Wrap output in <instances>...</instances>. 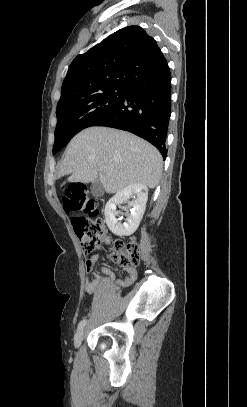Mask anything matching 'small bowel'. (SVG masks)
I'll return each instance as SVG.
<instances>
[{
  "mask_svg": "<svg viewBox=\"0 0 247 407\" xmlns=\"http://www.w3.org/2000/svg\"><path fill=\"white\" fill-rule=\"evenodd\" d=\"M108 243H109V239L107 237H105L102 240V244H108ZM97 261H98V254H94L90 258H88L85 262L86 271L91 272L93 270L94 266L96 265ZM101 270L106 276L109 277L110 281L115 280V274L112 270H110L107 267H102ZM125 271H126L125 278L123 280L117 281V284L120 286H123V287L131 285L137 278V271H136L135 267H133V266L128 267L125 269ZM102 284H103L102 278L98 275H94L91 278V280H89L85 285L86 292L90 295H95L100 290Z\"/></svg>",
  "mask_w": 247,
  "mask_h": 407,
  "instance_id": "small-bowel-1",
  "label": "small bowel"
}]
</instances>
